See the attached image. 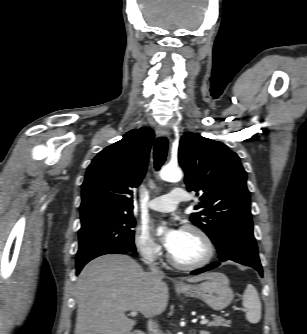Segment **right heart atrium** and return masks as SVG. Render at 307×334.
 <instances>
[{
    "instance_id": "1",
    "label": "right heart atrium",
    "mask_w": 307,
    "mask_h": 334,
    "mask_svg": "<svg viewBox=\"0 0 307 334\" xmlns=\"http://www.w3.org/2000/svg\"><path fill=\"white\" fill-rule=\"evenodd\" d=\"M133 245L141 259L148 264L155 262L161 254L160 245L151 236L148 228L143 225L136 228Z\"/></svg>"
}]
</instances>
